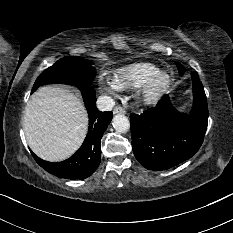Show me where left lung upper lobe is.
Instances as JSON below:
<instances>
[{"mask_svg": "<svg viewBox=\"0 0 233 233\" xmlns=\"http://www.w3.org/2000/svg\"><path fill=\"white\" fill-rule=\"evenodd\" d=\"M176 65H177V68L179 70L180 75H182L184 73V71H185L184 67L179 63H176Z\"/></svg>", "mask_w": 233, "mask_h": 233, "instance_id": "obj_1", "label": "left lung upper lobe"}]
</instances>
